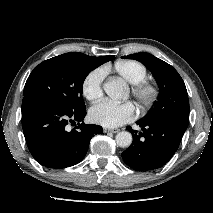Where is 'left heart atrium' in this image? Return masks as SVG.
<instances>
[{
	"mask_svg": "<svg viewBox=\"0 0 213 213\" xmlns=\"http://www.w3.org/2000/svg\"><path fill=\"white\" fill-rule=\"evenodd\" d=\"M89 117L92 122L101 126L118 127L134 119L135 107L131 102L117 104L103 101L90 109Z\"/></svg>",
	"mask_w": 213,
	"mask_h": 213,
	"instance_id": "39dd6f15",
	"label": "left heart atrium"
}]
</instances>
